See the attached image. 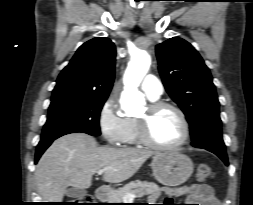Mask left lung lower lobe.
Here are the masks:
<instances>
[{
  "label": "left lung lower lobe",
  "mask_w": 253,
  "mask_h": 205,
  "mask_svg": "<svg viewBox=\"0 0 253 205\" xmlns=\"http://www.w3.org/2000/svg\"><path fill=\"white\" fill-rule=\"evenodd\" d=\"M206 149L214 154H216L227 166H228V158L226 151L215 149V148H203Z\"/></svg>",
  "instance_id": "0a47b994"
}]
</instances>
